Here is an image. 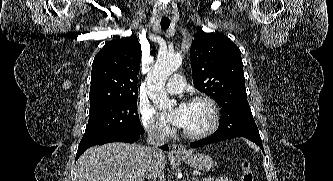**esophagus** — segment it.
Masks as SVG:
<instances>
[{
  "label": "esophagus",
  "mask_w": 333,
  "mask_h": 181,
  "mask_svg": "<svg viewBox=\"0 0 333 181\" xmlns=\"http://www.w3.org/2000/svg\"><path fill=\"white\" fill-rule=\"evenodd\" d=\"M172 152L176 155H185L187 154V150L184 145L180 143L172 144Z\"/></svg>",
  "instance_id": "obj_1"
}]
</instances>
